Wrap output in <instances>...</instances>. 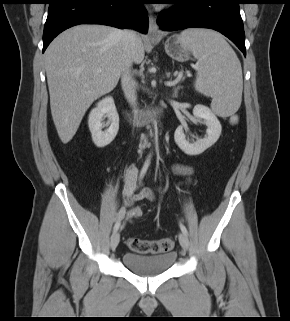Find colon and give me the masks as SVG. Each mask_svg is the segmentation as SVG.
<instances>
[{"instance_id": "1", "label": "colon", "mask_w": 290, "mask_h": 321, "mask_svg": "<svg viewBox=\"0 0 290 321\" xmlns=\"http://www.w3.org/2000/svg\"><path fill=\"white\" fill-rule=\"evenodd\" d=\"M141 216L142 210L140 208H134L130 211L131 218L138 219ZM128 246L132 251L137 253L160 254L171 251L174 247V240L170 237L158 240H145L133 237L128 240Z\"/></svg>"}]
</instances>
